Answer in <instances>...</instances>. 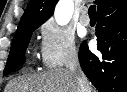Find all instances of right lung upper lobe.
Returning a JSON list of instances; mask_svg holds the SVG:
<instances>
[{"mask_svg": "<svg viewBox=\"0 0 127 92\" xmlns=\"http://www.w3.org/2000/svg\"><path fill=\"white\" fill-rule=\"evenodd\" d=\"M58 0H31L19 22L16 35L28 27L41 25L51 17ZM98 13L127 5V0H96ZM14 36V37H15Z\"/></svg>", "mask_w": 127, "mask_h": 92, "instance_id": "cb5924a9", "label": "right lung upper lobe"}]
</instances>
